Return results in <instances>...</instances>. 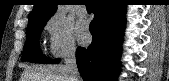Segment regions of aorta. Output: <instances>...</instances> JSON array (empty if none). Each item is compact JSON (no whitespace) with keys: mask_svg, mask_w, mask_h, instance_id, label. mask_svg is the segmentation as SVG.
<instances>
[{"mask_svg":"<svg viewBox=\"0 0 169 81\" xmlns=\"http://www.w3.org/2000/svg\"><path fill=\"white\" fill-rule=\"evenodd\" d=\"M57 12L61 15H66L68 10L65 7H63V5H60L57 9Z\"/></svg>","mask_w":169,"mask_h":81,"instance_id":"1","label":"aorta"}]
</instances>
